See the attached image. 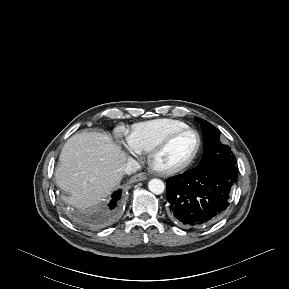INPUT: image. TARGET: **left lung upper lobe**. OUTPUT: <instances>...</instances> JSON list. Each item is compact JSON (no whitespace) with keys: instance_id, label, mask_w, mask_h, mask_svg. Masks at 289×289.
Here are the masks:
<instances>
[{"instance_id":"left-lung-upper-lobe-1","label":"left lung upper lobe","mask_w":289,"mask_h":289,"mask_svg":"<svg viewBox=\"0 0 289 289\" xmlns=\"http://www.w3.org/2000/svg\"><path fill=\"white\" fill-rule=\"evenodd\" d=\"M204 135V154L197 167L206 168L221 164L235 165L236 159L229 146L220 141V131L206 120L195 118Z\"/></svg>"}]
</instances>
